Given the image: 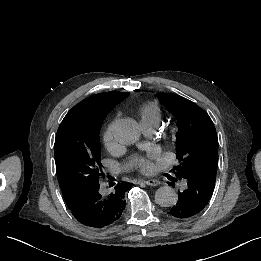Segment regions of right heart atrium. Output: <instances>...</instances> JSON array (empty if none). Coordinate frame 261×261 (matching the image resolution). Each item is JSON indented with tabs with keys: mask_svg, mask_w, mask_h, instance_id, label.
<instances>
[{
	"mask_svg": "<svg viewBox=\"0 0 261 261\" xmlns=\"http://www.w3.org/2000/svg\"><path fill=\"white\" fill-rule=\"evenodd\" d=\"M117 118L114 117L109 125L107 126L104 134H103V142L104 145L106 147V149L110 152H114L115 151V138L113 136V127L116 123Z\"/></svg>",
	"mask_w": 261,
	"mask_h": 261,
	"instance_id": "right-heart-atrium-1",
	"label": "right heart atrium"
}]
</instances>
